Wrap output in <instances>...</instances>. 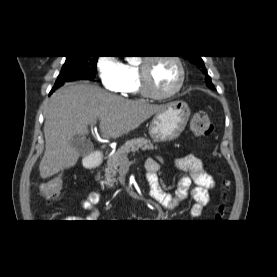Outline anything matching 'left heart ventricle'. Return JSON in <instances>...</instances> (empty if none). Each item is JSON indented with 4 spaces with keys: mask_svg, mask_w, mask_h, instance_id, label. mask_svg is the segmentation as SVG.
Instances as JSON below:
<instances>
[{
    "mask_svg": "<svg viewBox=\"0 0 277 277\" xmlns=\"http://www.w3.org/2000/svg\"><path fill=\"white\" fill-rule=\"evenodd\" d=\"M178 76V69L172 61L157 60L150 66V86L157 93H167L172 90L177 84Z\"/></svg>",
    "mask_w": 277,
    "mask_h": 277,
    "instance_id": "1",
    "label": "left heart ventricle"
}]
</instances>
